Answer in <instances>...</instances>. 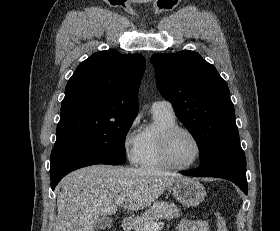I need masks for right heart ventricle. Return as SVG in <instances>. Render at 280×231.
Masks as SVG:
<instances>
[{"label": "right heart ventricle", "mask_w": 280, "mask_h": 231, "mask_svg": "<svg viewBox=\"0 0 280 231\" xmlns=\"http://www.w3.org/2000/svg\"><path fill=\"white\" fill-rule=\"evenodd\" d=\"M155 124L147 126L142 132L143 145L139 164L149 169H169L163 161L159 149V137L164 129L178 125L175 115L153 112Z\"/></svg>", "instance_id": "e07e8e85"}]
</instances>
